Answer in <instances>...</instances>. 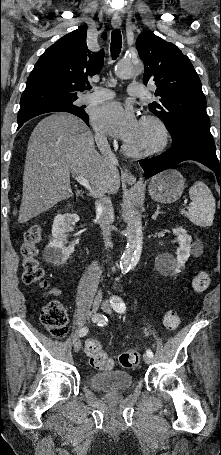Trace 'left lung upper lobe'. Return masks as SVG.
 <instances>
[{
	"label": "left lung upper lobe",
	"mask_w": 221,
	"mask_h": 455,
	"mask_svg": "<svg viewBox=\"0 0 221 455\" xmlns=\"http://www.w3.org/2000/svg\"><path fill=\"white\" fill-rule=\"evenodd\" d=\"M136 48L144 62L143 83L157 86L158 100L149 110L163 120L172 139L188 130L210 132L206 99L189 58L152 32L141 33Z\"/></svg>",
	"instance_id": "1"
}]
</instances>
